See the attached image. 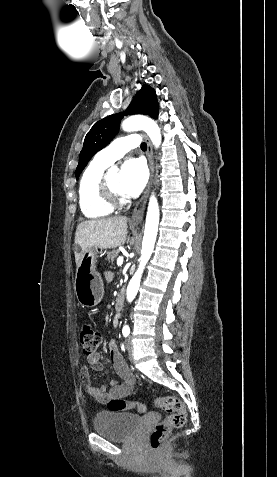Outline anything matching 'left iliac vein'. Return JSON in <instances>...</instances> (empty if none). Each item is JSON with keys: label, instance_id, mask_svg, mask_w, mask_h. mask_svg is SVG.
<instances>
[{"label": "left iliac vein", "instance_id": "4c4485c4", "mask_svg": "<svg viewBox=\"0 0 277 477\" xmlns=\"http://www.w3.org/2000/svg\"><path fill=\"white\" fill-rule=\"evenodd\" d=\"M126 348H127L128 352L131 354L132 351H133V346H132V342H131L130 338H128L127 341H126Z\"/></svg>", "mask_w": 277, "mask_h": 477}]
</instances>
